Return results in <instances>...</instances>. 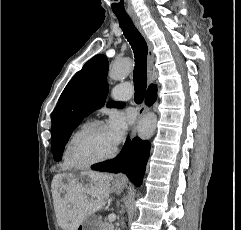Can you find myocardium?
I'll return each instance as SVG.
<instances>
[{
  "instance_id": "1",
  "label": "myocardium",
  "mask_w": 241,
  "mask_h": 230,
  "mask_svg": "<svg viewBox=\"0 0 241 230\" xmlns=\"http://www.w3.org/2000/svg\"><path fill=\"white\" fill-rule=\"evenodd\" d=\"M102 126H105V123L103 121L93 120V121H90V122L86 123L85 125H83L73 135V137L71 138L70 143L68 145V159L74 168H86V167L94 166V165H97L100 163H105V162H108V161L114 159L117 156L118 148L115 147V149L110 154H108L104 157H101V158L84 161V162H80L76 159L75 147H76L77 143L79 142V140L89 131H91L97 127H102Z\"/></svg>"
}]
</instances>
